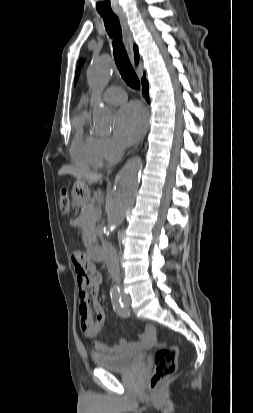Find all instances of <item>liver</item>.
Returning a JSON list of instances; mask_svg holds the SVG:
<instances>
[{
    "instance_id": "obj_1",
    "label": "liver",
    "mask_w": 253,
    "mask_h": 413,
    "mask_svg": "<svg viewBox=\"0 0 253 413\" xmlns=\"http://www.w3.org/2000/svg\"><path fill=\"white\" fill-rule=\"evenodd\" d=\"M58 174L61 175H65V174H69L74 176L75 178H77V180L83 184L86 185V182L88 184H93L98 182L101 179V174H96V173H92V172H88L73 166H63Z\"/></svg>"
}]
</instances>
